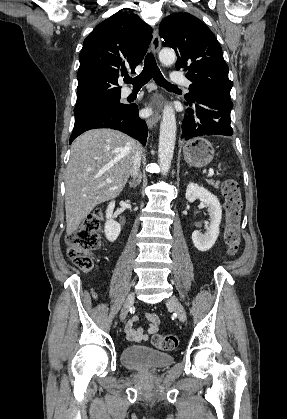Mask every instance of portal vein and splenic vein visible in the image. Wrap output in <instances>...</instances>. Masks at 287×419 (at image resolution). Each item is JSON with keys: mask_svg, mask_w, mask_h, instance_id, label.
Instances as JSON below:
<instances>
[{"mask_svg": "<svg viewBox=\"0 0 287 419\" xmlns=\"http://www.w3.org/2000/svg\"><path fill=\"white\" fill-rule=\"evenodd\" d=\"M213 175H214V171H213L212 169H210V170H209V173H208V175H207V176H208V177H211V176H213Z\"/></svg>", "mask_w": 287, "mask_h": 419, "instance_id": "obj_1", "label": "portal vein and splenic vein"}]
</instances>
